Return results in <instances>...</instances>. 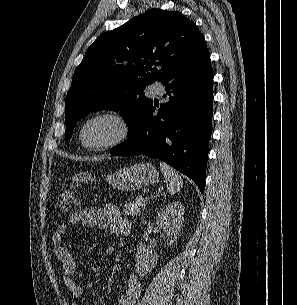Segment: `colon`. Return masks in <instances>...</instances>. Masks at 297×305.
<instances>
[{
	"label": "colon",
	"instance_id": "1",
	"mask_svg": "<svg viewBox=\"0 0 297 305\" xmlns=\"http://www.w3.org/2000/svg\"><path fill=\"white\" fill-rule=\"evenodd\" d=\"M92 175L82 171L72 176L69 183L60 191L55 211L58 215L71 214L79 209L80 203L76 195V188L81 183L91 181Z\"/></svg>",
	"mask_w": 297,
	"mask_h": 305
}]
</instances>
